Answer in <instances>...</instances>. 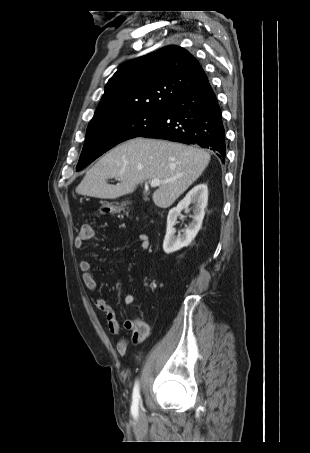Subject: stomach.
<instances>
[{"instance_id":"1","label":"stomach","mask_w":310,"mask_h":453,"mask_svg":"<svg viewBox=\"0 0 310 453\" xmlns=\"http://www.w3.org/2000/svg\"><path fill=\"white\" fill-rule=\"evenodd\" d=\"M100 213L104 215L115 214L121 211L119 206L113 205L111 203L103 204L100 208Z\"/></svg>"}]
</instances>
